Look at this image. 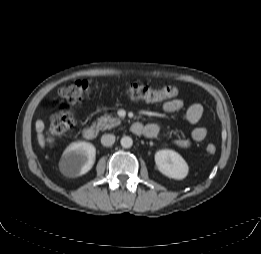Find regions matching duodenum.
Instances as JSON below:
<instances>
[{
    "mask_svg": "<svg viewBox=\"0 0 261 254\" xmlns=\"http://www.w3.org/2000/svg\"><path fill=\"white\" fill-rule=\"evenodd\" d=\"M132 131L135 133V134H138V135H142L143 133V127L140 123H134L132 125ZM83 136L85 139L87 140H93L96 138L97 136V130L96 128L92 127V126H88L86 128H84L83 130Z\"/></svg>",
    "mask_w": 261,
    "mask_h": 254,
    "instance_id": "obj_1",
    "label": "duodenum"
}]
</instances>
